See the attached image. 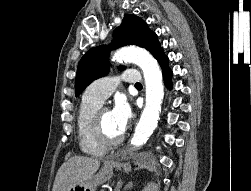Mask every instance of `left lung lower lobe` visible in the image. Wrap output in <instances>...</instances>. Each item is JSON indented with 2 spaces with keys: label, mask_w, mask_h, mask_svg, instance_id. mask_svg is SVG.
<instances>
[{
  "label": "left lung lower lobe",
  "mask_w": 251,
  "mask_h": 191,
  "mask_svg": "<svg viewBox=\"0 0 251 191\" xmlns=\"http://www.w3.org/2000/svg\"><path fill=\"white\" fill-rule=\"evenodd\" d=\"M156 59L162 67L165 85H167L169 88H172V71L168 66V57L162 52Z\"/></svg>",
  "instance_id": "obj_1"
}]
</instances>
